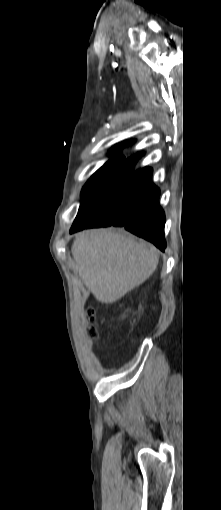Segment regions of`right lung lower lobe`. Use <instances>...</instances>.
Instances as JSON below:
<instances>
[{
    "label": "right lung lower lobe",
    "instance_id": "98d812e1",
    "mask_svg": "<svg viewBox=\"0 0 221 510\" xmlns=\"http://www.w3.org/2000/svg\"><path fill=\"white\" fill-rule=\"evenodd\" d=\"M151 175V168L140 171L125 204L115 217H100L81 204L70 233L92 227L120 226L164 251L165 215L159 205L160 190L151 182Z\"/></svg>",
    "mask_w": 221,
    "mask_h": 510
}]
</instances>
